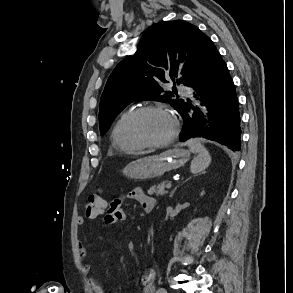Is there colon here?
Listing matches in <instances>:
<instances>
[{"label": "colon", "mask_w": 293, "mask_h": 293, "mask_svg": "<svg viewBox=\"0 0 293 293\" xmlns=\"http://www.w3.org/2000/svg\"><path fill=\"white\" fill-rule=\"evenodd\" d=\"M107 205L102 190H98L88 197L85 204V214L88 218L95 219L106 210Z\"/></svg>", "instance_id": "obj_1"}]
</instances>
